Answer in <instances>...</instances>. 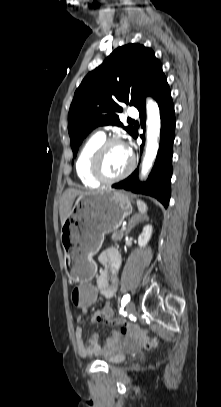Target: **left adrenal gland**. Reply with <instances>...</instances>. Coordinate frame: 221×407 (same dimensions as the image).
I'll return each instance as SVG.
<instances>
[{"label":"left adrenal gland","instance_id":"a2214340","mask_svg":"<svg viewBox=\"0 0 221 407\" xmlns=\"http://www.w3.org/2000/svg\"><path fill=\"white\" fill-rule=\"evenodd\" d=\"M143 220H148V217H147V216L141 217L139 214H134V215L130 218V220H129V222H128V229H127V231H126V234H128V233L131 231V229H132L134 226H136V224H138L140 221H143Z\"/></svg>","mask_w":221,"mask_h":407}]
</instances>
